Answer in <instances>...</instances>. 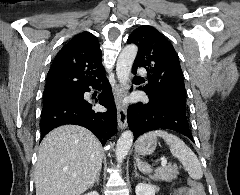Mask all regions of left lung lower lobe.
<instances>
[{"instance_id": "left-lung-lower-lobe-1", "label": "left lung lower lobe", "mask_w": 240, "mask_h": 195, "mask_svg": "<svg viewBox=\"0 0 240 195\" xmlns=\"http://www.w3.org/2000/svg\"><path fill=\"white\" fill-rule=\"evenodd\" d=\"M148 98V102L132 104L128 108L127 121L133 132L134 140L148 131L171 129L193 141L185 107L171 101Z\"/></svg>"}]
</instances>
